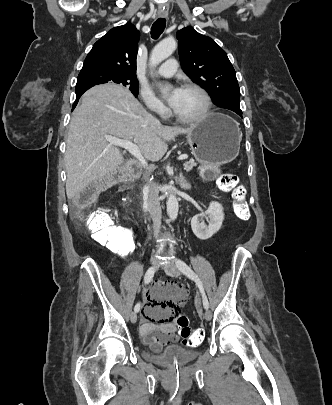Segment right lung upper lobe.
<instances>
[{
    "mask_svg": "<svg viewBox=\"0 0 332 405\" xmlns=\"http://www.w3.org/2000/svg\"><path fill=\"white\" fill-rule=\"evenodd\" d=\"M138 40L139 32L131 23L112 28L94 44L80 73L106 70L136 76Z\"/></svg>",
    "mask_w": 332,
    "mask_h": 405,
    "instance_id": "1",
    "label": "right lung upper lobe"
}]
</instances>
